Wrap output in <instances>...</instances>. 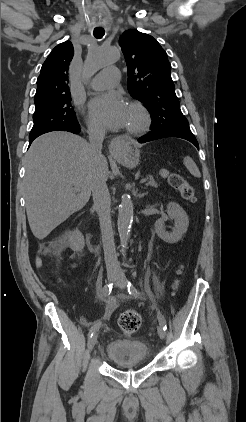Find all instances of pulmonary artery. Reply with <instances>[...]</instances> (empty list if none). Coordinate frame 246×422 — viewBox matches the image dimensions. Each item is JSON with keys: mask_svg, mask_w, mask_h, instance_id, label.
Listing matches in <instances>:
<instances>
[{"mask_svg": "<svg viewBox=\"0 0 246 422\" xmlns=\"http://www.w3.org/2000/svg\"><path fill=\"white\" fill-rule=\"evenodd\" d=\"M120 78L119 69L116 67H108L98 73L90 83L93 89H105L114 86Z\"/></svg>", "mask_w": 246, "mask_h": 422, "instance_id": "e3ab8cb5", "label": "pulmonary artery"}]
</instances>
